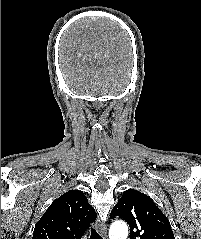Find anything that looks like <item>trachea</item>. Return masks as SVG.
I'll list each match as a JSON object with an SVG mask.
<instances>
[{
	"label": "trachea",
	"instance_id": "3493384b",
	"mask_svg": "<svg viewBox=\"0 0 201 239\" xmlns=\"http://www.w3.org/2000/svg\"><path fill=\"white\" fill-rule=\"evenodd\" d=\"M90 239H102V237L98 234V232L92 227Z\"/></svg>",
	"mask_w": 201,
	"mask_h": 239
}]
</instances>
